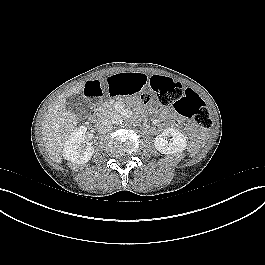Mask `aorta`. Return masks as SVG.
<instances>
[{
  "mask_svg": "<svg viewBox=\"0 0 265 265\" xmlns=\"http://www.w3.org/2000/svg\"><path fill=\"white\" fill-rule=\"evenodd\" d=\"M110 120L114 125H121L123 123V116L119 113L111 115Z\"/></svg>",
  "mask_w": 265,
  "mask_h": 265,
  "instance_id": "obj_1",
  "label": "aorta"
}]
</instances>
